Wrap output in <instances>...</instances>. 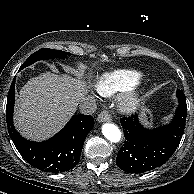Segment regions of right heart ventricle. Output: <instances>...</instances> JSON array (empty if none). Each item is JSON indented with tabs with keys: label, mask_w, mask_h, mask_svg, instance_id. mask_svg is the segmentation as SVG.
Returning <instances> with one entry per match:
<instances>
[{
	"label": "right heart ventricle",
	"mask_w": 194,
	"mask_h": 194,
	"mask_svg": "<svg viewBox=\"0 0 194 194\" xmlns=\"http://www.w3.org/2000/svg\"><path fill=\"white\" fill-rule=\"evenodd\" d=\"M143 74L134 69H117L103 73L96 82L97 92L110 97L118 92L135 87L142 80Z\"/></svg>",
	"instance_id": "right-heart-ventricle-1"
}]
</instances>
